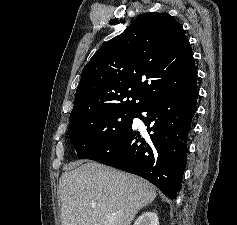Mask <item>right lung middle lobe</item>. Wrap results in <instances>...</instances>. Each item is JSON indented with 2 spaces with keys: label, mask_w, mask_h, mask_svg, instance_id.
Wrapping results in <instances>:
<instances>
[{
  "label": "right lung middle lobe",
  "mask_w": 237,
  "mask_h": 225,
  "mask_svg": "<svg viewBox=\"0 0 237 225\" xmlns=\"http://www.w3.org/2000/svg\"><path fill=\"white\" fill-rule=\"evenodd\" d=\"M136 112L112 111L69 124V138L80 159L101 150L121 135Z\"/></svg>",
  "instance_id": "1"
}]
</instances>
